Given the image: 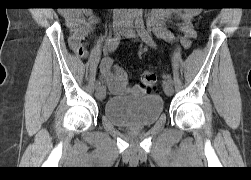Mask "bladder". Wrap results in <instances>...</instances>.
<instances>
[{"label": "bladder", "mask_w": 251, "mask_h": 180, "mask_svg": "<svg viewBox=\"0 0 251 180\" xmlns=\"http://www.w3.org/2000/svg\"><path fill=\"white\" fill-rule=\"evenodd\" d=\"M164 101L157 94L138 97L112 96L104 105L105 117L117 126L145 127L162 115Z\"/></svg>", "instance_id": "31cf9c89"}]
</instances>
